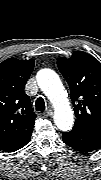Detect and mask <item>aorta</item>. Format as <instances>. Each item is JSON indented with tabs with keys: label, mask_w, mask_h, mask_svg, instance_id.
<instances>
[{
	"label": "aorta",
	"mask_w": 101,
	"mask_h": 180,
	"mask_svg": "<svg viewBox=\"0 0 101 180\" xmlns=\"http://www.w3.org/2000/svg\"><path fill=\"white\" fill-rule=\"evenodd\" d=\"M37 82L41 90L54 105L56 126L62 131L70 130L74 123L73 110L59 76L50 69H43L37 74Z\"/></svg>",
	"instance_id": "1"
}]
</instances>
